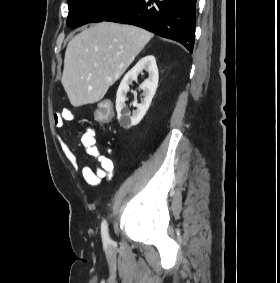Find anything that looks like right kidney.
Returning <instances> with one entry per match:
<instances>
[{
  "label": "right kidney",
  "mask_w": 280,
  "mask_h": 283,
  "mask_svg": "<svg viewBox=\"0 0 280 283\" xmlns=\"http://www.w3.org/2000/svg\"><path fill=\"white\" fill-rule=\"evenodd\" d=\"M142 70L148 72V79H146L140 86V89L143 90V99H141V103H137L136 101L133 102V106L136 107L137 110L130 116L125 105L126 95L129 91V85L132 84V81L137 80L138 74ZM158 80L159 75L156 59L152 55L143 57L130 71L126 73L119 85L116 96L117 118L122 127L128 129L137 125L142 120L149 109L152 98L155 95L158 87Z\"/></svg>",
  "instance_id": "ca27d5eb"
}]
</instances>
